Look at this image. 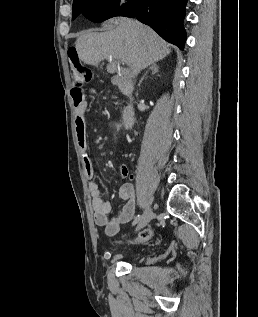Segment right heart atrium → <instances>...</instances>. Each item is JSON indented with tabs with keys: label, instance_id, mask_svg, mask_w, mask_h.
I'll return each instance as SVG.
<instances>
[{
	"label": "right heart atrium",
	"instance_id": "right-heart-atrium-1",
	"mask_svg": "<svg viewBox=\"0 0 258 317\" xmlns=\"http://www.w3.org/2000/svg\"><path fill=\"white\" fill-rule=\"evenodd\" d=\"M123 5H124L123 1H118L117 3H115V9L119 11L120 9H122Z\"/></svg>",
	"mask_w": 258,
	"mask_h": 317
}]
</instances>
